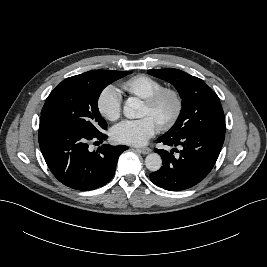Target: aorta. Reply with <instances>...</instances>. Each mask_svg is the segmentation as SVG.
Masks as SVG:
<instances>
[{
    "label": "aorta",
    "instance_id": "obj_1",
    "mask_svg": "<svg viewBox=\"0 0 267 267\" xmlns=\"http://www.w3.org/2000/svg\"><path fill=\"white\" fill-rule=\"evenodd\" d=\"M125 117L129 119L140 118L143 116V103L140 99L129 98L123 107ZM146 168L150 171H158L162 166L161 156L157 153H151L145 158Z\"/></svg>",
    "mask_w": 267,
    "mask_h": 267
}]
</instances>
